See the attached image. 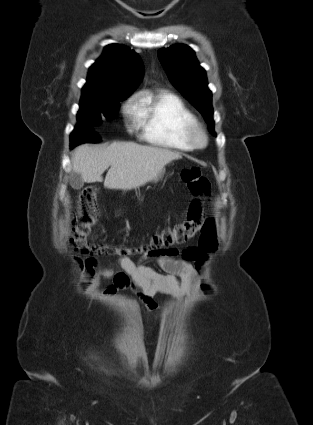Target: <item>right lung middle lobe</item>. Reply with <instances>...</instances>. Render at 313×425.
<instances>
[{
    "label": "right lung middle lobe",
    "mask_w": 313,
    "mask_h": 425,
    "mask_svg": "<svg viewBox=\"0 0 313 425\" xmlns=\"http://www.w3.org/2000/svg\"><path fill=\"white\" fill-rule=\"evenodd\" d=\"M128 96V94L114 93L99 99L80 101V109L77 114L78 125L76 128L82 125L95 126L100 123L103 118L110 119L115 117L120 107L119 102L123 101ZM70 140V146L81 143V141L74 136H71Z\"/></svg>",
    "instance_id": "dd1d6c3e"
}]
</instances>
